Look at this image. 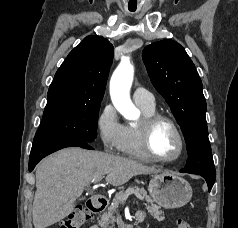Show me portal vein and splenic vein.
<instances>
[{"label":"portal vein and splenic vein","instance_id":"obj_1","mask_svg":"<svg viewBox=\"0 0 238 228\" xmlns=\"http://www.w3.org/2000/svg\"><path fill=\"white\" fill-rule=\"evenodd\" d=\"M101 180H102V177H99V178L96 179V182H99V181H101ZM131 194H135V196H136L139 200H143V198L141 197V195H140L138 192H136L135 190H133V189H128L124 195L120 196V199L123 200V201H126L127 198L129 197V195H131Z\"/></svg>","mask_w":238,"mask_h":228}]
</instances>
